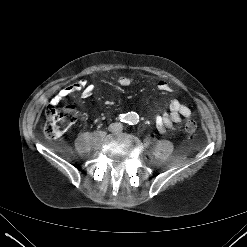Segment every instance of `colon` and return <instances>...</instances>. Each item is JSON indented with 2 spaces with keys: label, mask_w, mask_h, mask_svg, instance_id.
<instances>
[{
  "label": "colon",
  "mask_w": 247,
  "mask_h": 247,
  "mask_svg": "<svg viewBox=\"0 0 247 247\" xmlns=\"http://www.w3.org/2000/svg\"><path fill=\"white\" fill-rule=\"evenodd\" d=\"M45 115L44 133L48 138L54 139L60 137L75 121L77 110L73 105L59 106L51 103L47 106ZM184 130L186 134L193 135L197 130L196 121L193 119L187 120Z\"/></svg>",
  "instance_id": "1"
}]
</instances>
